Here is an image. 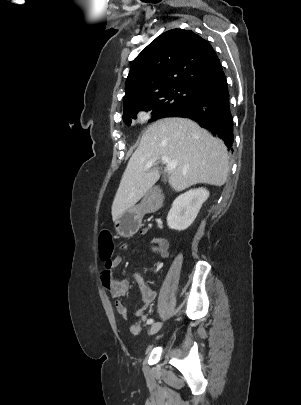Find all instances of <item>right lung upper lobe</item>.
Masks as SVG:
<instances>
[{"label": "right lung upper lobe", "mask_w": 301, "mask_h": 405, "mask_svg": "<svg viewBox=\"0 0 301 405\" xmlns=\"http://www.w3.org/2000/svg\"><path fill=\"white\" fill-rule=\"evenodd\" d=\"M224 78L220 61L208 41L191 30H169L135 59L126 80L124 112L157 93L178 88L204 92Z\"/></svg>", "instance_id": "cb5924a9"}]
</instances>
